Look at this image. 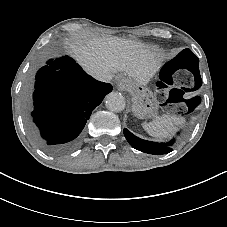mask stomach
I'll return each instance as SVG.
<instances>
[{"mask_svg":"<svg viewBox=\"0 0 227 227\" xmlns=\"http://www.w3.org/2000/svg\"><path fill=\"white\" fill-rule=\"evenodd\" d=\"M119 81L127 84L126 90L123 91H129L133 95V108L138 115H151L157 111L156 97L150 90L127 78Z\"/></svg>","mask_w":227,"mask_h":227,"instance_id":"stomach-1","label":"stomach"}]
</instances>
